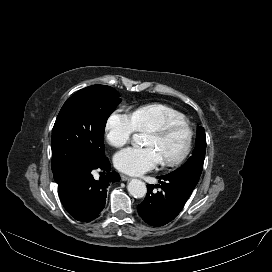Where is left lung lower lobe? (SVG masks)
Instances as JSON below:
<instances>
[{"label":"left lung lower lobe","mask_w":272,"mask_h":272,"mask_svg":"<svg viewBox=\"0 0 272 272\" xmlns=\"http://www.w3.org/2000/svg\"><path fill=\"white\" fill-rule=\"evenodd\" d=\"M157 178L161 184L158 185L161 191L154 193V186L147 185V196L137 209L142 219L149 225L163 226L180 213L196 183L169 174Z\"/></svg>","instance_id":"obj_1"}]
</instances>
